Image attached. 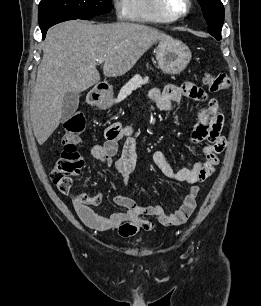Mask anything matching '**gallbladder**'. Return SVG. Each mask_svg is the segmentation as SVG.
Segmentation results:
<instances>
[{
    "label": "gallbladder",
    "mask_w": 261,
    "mask_h": 306,
    "mask_svg": "<svg viewBox=\"0 0 261 306\" xmlns=\"http://www.w3.org/2000/svg\"><path fill=\"white\" fill-rule=\"evenodd\" d=\"M79 98V93L67 92L65 94L61 108V122L67 121L76 112Z\"/></svg>",
    "instance_id": "bac80fb5"
}]
</instances>
